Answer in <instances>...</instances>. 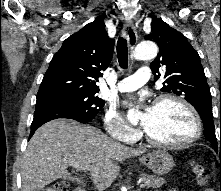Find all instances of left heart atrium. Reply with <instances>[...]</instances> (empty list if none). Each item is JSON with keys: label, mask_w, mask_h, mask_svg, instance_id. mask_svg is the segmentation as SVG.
<instances>
[{"label": "left heart atrium", "mask_w": 221, "mask_h": 191, "mask_svg": "<svg viewBox=\"0 0 221 191\" xmlns=\"http://www.w3.org/2000/svg\"><path fill=\"white\" fill-rule=\"evenodd\" d=\"M130 106H132V103L126 104V107H130ZM151 113H152V108L145 106L144 111H143V115H142V120H141V125L144 129L148 123Z\"/></svg>", "instance_id": "1"}]
</instances>
